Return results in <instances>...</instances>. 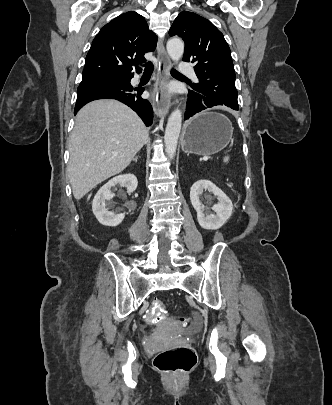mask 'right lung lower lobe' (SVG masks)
I'll return each instance as SVG.
<instances>
[{
	"label": "right lung lower lobe",
	"instance_id": "right-lung-lower-lobe-1",
	"mask_svg": "<svg viewBox=\"0 0 332 405\" xmlns=\"http://www.w3.org/2000/svg\"><path fill=\"white\" fill-rule=\"evenodd\" d=\"M128 76L122 81L99 80L80 84L77 89V102L74 109L76 114L85 104L97 99L113 98L131 107L150 126L153 120L151 104L141 97L144 88L133 87Z\"/></svg>",
	"mask_w": 332,
	"mask_h": 405
}]
</instances>
